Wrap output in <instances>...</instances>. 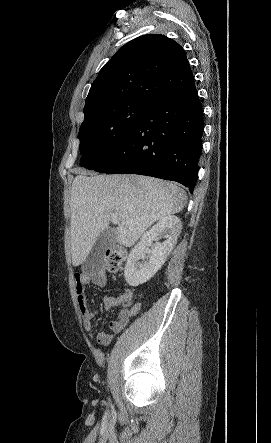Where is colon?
Segmentation results:
<instances>
[{
    "instance_id": "5ec220e1",
    "label": "colon",
    "mask_w": 271,
    "mask_h": 443,
    "mask_svg": "<svg viewBox=\"0 0 271 443\" xmlns=\"http://www.w3.org/2000/svg\"><path fill=\"white\" fill-rule=\"evenodd\" d=\"M126 255L127 251L122 246L108 248L105 253V267L107 271L111 273L119 271L126 259Z\"/></svg>"
}]
</instances>
